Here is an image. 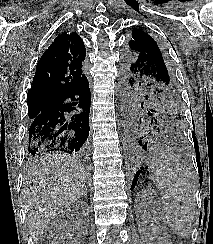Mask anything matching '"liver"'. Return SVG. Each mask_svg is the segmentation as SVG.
Here are the masks:
<instances>
[{
    "label": "liver",
    "instance_id": "1",
    "mask_svg": "<svg viewBox=\"0 0 213 244\" xmlns=\"http://www.w3.org/2000/svg\"><path fill=\"white\" fill-rule=\"evenodd\" d=\"M86 184L84 167L73 155L50 153L35 161L22 189L27 226L37 240L55 217L77 201Z\"/></svg>",
    "mask_w": 213,
    "mask_h": 244
}]
</instances>
